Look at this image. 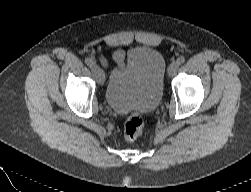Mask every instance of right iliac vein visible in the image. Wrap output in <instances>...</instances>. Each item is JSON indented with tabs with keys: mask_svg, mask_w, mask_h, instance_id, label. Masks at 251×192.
Returning <instances> with one entry per match:
<instances>
[{
	"mask_svg": "<svg viewBox=\"0 0 251 192\" xmlns=\"http://www.w3.org/2000/svg\"><path fill=\"white\" fill-rule=\"evenodd\" d=\"M91 70L97 82L99 84H102L104 82V73L102 69L97 64L94 63L91 67Z\"/></svg>",
	"mask_w": 251,
	"mask_h": 192,
	"instance_id": "obj_1",
	"label": "right iliac vein"
}]
</instances>
